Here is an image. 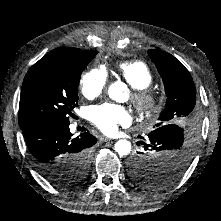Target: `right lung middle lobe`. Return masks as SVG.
Masks as SVG:
<instances>
[{
	"label": "right lung middle lobe",
	"mask_w": 221,
	"mask_h": 221,
	"mask_svg": "<svg viewBox=\"0 0 221 221\" xmlns=\"http://www.w3.org/2000/svg\"><path fill=\"white\" fill-rule=\"evenodd\" d=\"M97 51L83 58L37 62L27 72L20 96L19 125L43 119L69 121L78 102L80 75ZM90 150L66 158L60 166H51L46 179L58 186H70L86 176Z\"/></svg>",
	"instance_id": "dd1d6c3e"
}]
</instances>
